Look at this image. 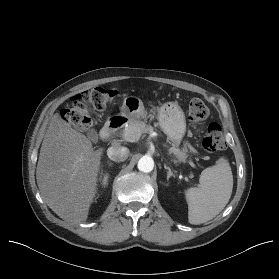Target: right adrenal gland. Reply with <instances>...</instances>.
<instances>
[{
	"label": "right adrenal gland",
	"mask_w": 279,
	"mask_h": 279,
	"mask_svg": "<svg viewBox=\"0 0 279 279\" xmlns=\"http://www.w3.org/2000/svg\"><path fill=\"white\" fill-rule=\"evenodd\" d=\"M107 163H108L109 166H112V165H113V163H111V162H109V161H107Z\"/></svg>",
	"instance_id": "2a0ac1e0"
}]
</instances>
